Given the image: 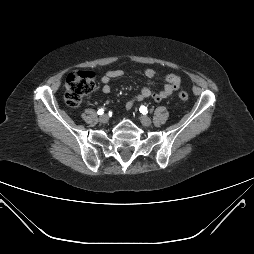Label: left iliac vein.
I'll return each mask as SVG.
<instances>
[{"mask_svg": "<svg viewBox=\"0 0 254 254\" xmlns=\"http://www.w3.org/2000/svg\"><path fill=\"white\" fill-rule=\"evenodd\" d=\"M139 119H140L142 125H144V126L148 127V126H150L152 124L151 119L149 117H147V116L141 115L139 117Z\"/></svg>", "mask_w": 254, "mask_h": 254, "instance_id": "1", "label": "left iliac vein"}]
</instances>
